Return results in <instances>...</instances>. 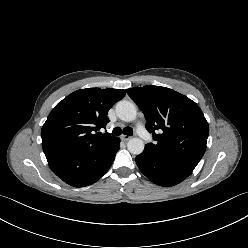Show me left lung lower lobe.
Here are the masks:
<instances>
[{
    "mask_svg": "<svg viewBox=\"0 0 248 248\" xmlns=\"http://www.w3.org/2000/svg\"><path fill=\"white\" fill-rule=\"evenodd\" d=\"M141 172L157 185L170 187L186 179L195 165L171 160L145 150L136 157Z\"/></svg>",
    "mask_w": 248,
    "mask_h": 248,
    "instance_id": "0a47b994",
    "label": "left lung lower lobe"
}]
</instances>
